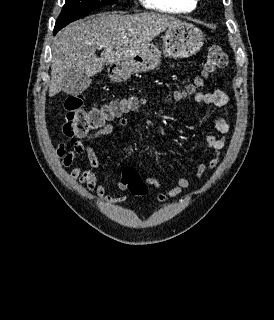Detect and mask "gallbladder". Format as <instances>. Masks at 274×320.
Wrapping results in <instances>:
<instances>
[{
	"mask_svg": "<svg viewBox=\"0 0 274 320\" xmlns=\"http://www.w3.org/2000/svg\"><path fill=\"white\" fill-rule=\"evenodd\" d=\"M92 84L90 73L85 68H69L63 79L65 95H81Z\"/></svg>",
	"mask_w": 274,
	"mask_h": 320,
	"instance_id": "1",
	"label": "gallbladder"
}]
</instances>
